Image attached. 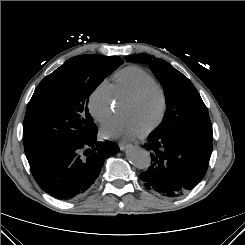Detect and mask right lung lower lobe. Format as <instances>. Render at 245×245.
<instances>
[{"instance_id":"right-lung-lower-lobe-1","label":"right lung lower lobe","mask_w":245,"mask_h":245,"mask_svg":"<svg viewBox=\"0 0 245 245\" xmlns=\"http://www.w3.org/2000/svg\"><path fill=\"white\" fill-rule=\"evenodd\" d=\"M118 152L113 142H97L96 131L81 142L61 146L28 162L43 191L68 200L86 193L99 176L103 160Z\"/></svg>"}]
</instances>
